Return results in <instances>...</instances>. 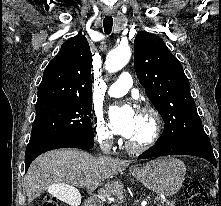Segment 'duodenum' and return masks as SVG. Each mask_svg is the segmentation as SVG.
I'll return each instance as SVG.
<instances>
[{
    "instance_id": "410a0bca",
    "label": "duodenum",
    "mask_w": 221,
    "mask_h": 206,
    "mask_svg": "<svg viewBox=\"0 0 221 206\" xmlns=\"http://www.w3.org/2000/svg\"><path fill=\"white\" fill-rule=\"evenodd\" d=\"M85 206H104L100 198L96 196H90L85 202Z\"/></svg>"
}]
</instances>
